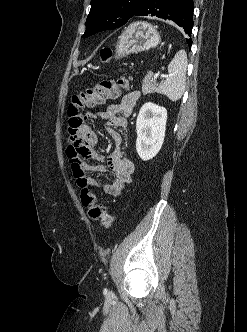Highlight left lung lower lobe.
<instances>
[{
    "instance_id": "1",
    "label": "left lung lower lobe",
    "mask_w": 247,
    "mask_h": 332,
    "mask_svg": "<svg viewBox=\"0 0 247 332\" xmlns=\"http://www.w3.org/2000/svg\"><path fill=\"white\" fill-rule=\"evenodd\" d=\"M193 0H146L137 10L134 16H157L175 22L188 36H191L193 28ZM189 48L191 39H186Z\"/></svg>"
}]
</instances>
